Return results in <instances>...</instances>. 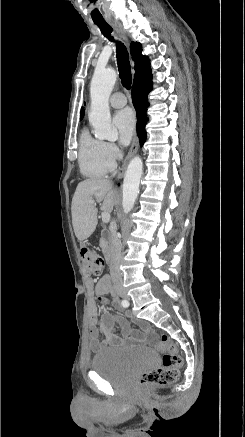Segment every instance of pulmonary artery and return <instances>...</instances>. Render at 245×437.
Returning <instances> with one entry per match:
<instances>
[{"instance_id": "obj_1", "label": "pulmonary artery", "mask_w": 245, "mask_h": 437, "mask_svg": "<svg viewBox=\"0 0 245 437\" xmlns=\"http://www.w3.org/2000/svg\"><path fill=\"white\" fill-rule=\"evenodd\" d=\"M127 99L125 95L121 92L114 93L110 98V105L114 108H121L125 106Z\"/></svg>"}]
</instances>
